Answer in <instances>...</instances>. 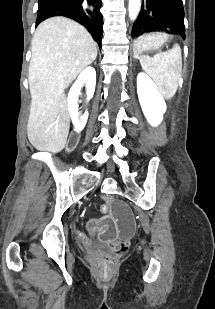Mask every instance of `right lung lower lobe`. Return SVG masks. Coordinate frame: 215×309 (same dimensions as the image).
<instances>
[{"mask_svg":"<svg viewBox=\"0 0 215 309\" xmlns=\"http://www.w3.org/2000/svg\"><path fill=\"white\" fill-rule=\"evenodd\" d=\"M96 3L93 12L83 11V0H39L36 27L45 19L54 16H65L84 25L93 35L101 48L103 18L100 12L101 0H87Z\"/></svg>","mask_w":215,"mask_h":309,"instance_id":"1","label":"right lung lower lobe"}]
</instances>
